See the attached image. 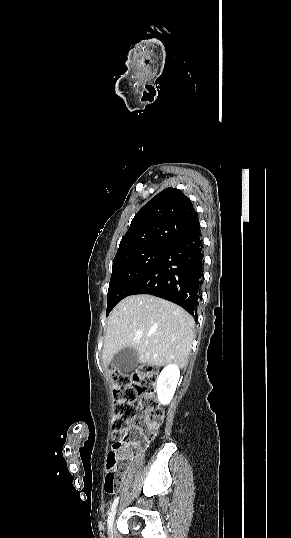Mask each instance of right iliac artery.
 Instances as JSON below:
<instances>
[{
    "mask_svg": "<svg viewBox=\"0 0 291 538\" xmlns=\"http://www.w3.org/2000/svg\"><path fill=\"white\" fill-rule=\"evenodd\" d=\"M118 499H119V497H116V498H115V500H114V502H113V504H112V506H111V511H113V510L115 509V507H116V505H117V503H118Z\"/></svg>",
    "mask_w": 291,
    "mask_h": 538,
    "instance_id": "82829eb1",
    "label": "right iliac artery"
}]
</instances>
